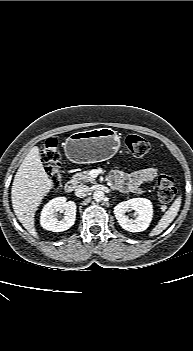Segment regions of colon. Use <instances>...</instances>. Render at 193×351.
Returning a JSON list of instances; mask_svg holds the SVG:
<instances>
[{"mask_svg": "<svg viewBox=\"0 0 193 351\" xmlns=\"http://www.w3.org/2000/svg\"><path fill=\"white\" fill-rule=\"evenodd\" d=\"M125 144L129 151L137 157L146 155L150 151L149 142L135 134L128 135ZM58 142L55 138L45 141L41 151V158L47 165V175L52 189H57L63 179L59 161ZM174 179L169 175H161L157 180V194L162 202H170L176 196Z\"/></svg>", "mask_w": 193, "mask_h": 351, "instance_id": "colon-1", "label": "colon"}]
</instances>
